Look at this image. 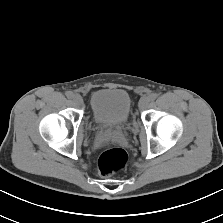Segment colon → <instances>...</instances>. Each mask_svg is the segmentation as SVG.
<instances>
[{"label": "colon", "mask_w": 223, "mask_h": 223, "mask_svg": "<svg viewBox=\"0 0 223 223\" xmlns=\"http://www.w3.org/2000/svg\"><path fill=\"white\" fill-rule=\"evenodd\" d=\"M128 162V154L121 148H109L98 158V170L102 176H109L122 170Z\"/></svg>", "instance_id": "colon-1"}]
</instances>
